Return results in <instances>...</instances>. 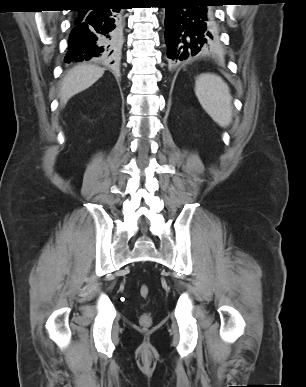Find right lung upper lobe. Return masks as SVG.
<instances>
[{"label": "right lung upper lobe", "instance_id": "cb5924a9", "mask_svg": "<svg viewBox=\"0 0 306 387\" xmlns=\"http://www.w3.org/2000/svg\"><path fill=\"white\" fill-rule=\"evenodd\" d=\"M83 1H85V2H91V1H97V0H83Z\"/></svg>", "mask_w": 306, "mask_h": 387}]
</instances>
